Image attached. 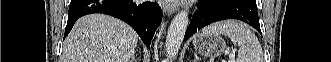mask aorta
<instances>
[{"instance_id":"obj_1","label":"aorta","mask_w":331,"mask_h":62,"mask_svg":"<svg viewBox=\"0 0 331 62\" xmlns=\"http://www.w3.org/2000/svg\"><path fill=\"white\" fill-rule=\"evenodd\" d=\"M188 13L181 11L172 20L166 37V52L169 59H174L180 49L188 27Z\"/></svg>"}]
</instances>
